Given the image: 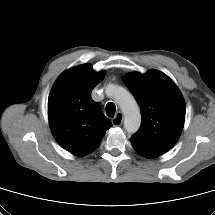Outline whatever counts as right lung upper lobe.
I'll use <instances>...</instances> for the list:
<instances>
[{"instance_id":"obj_1","label":"right lung upper lobe","mask_w":215,"mask_h":215,"mask_svg":"<svg viewBox=\"0 0 215 215\" xmlns=\"http://www.w3.org/2000/svg\"><path fill=\"white\" fill-rule=\"evenodd\" d=\"M105 72H94L90 64L65 71L55 82L48 98V117L56 141L76 156H85L101 142L112 123L98 103L92 89Z\"/></svg>"}]
</instances>
